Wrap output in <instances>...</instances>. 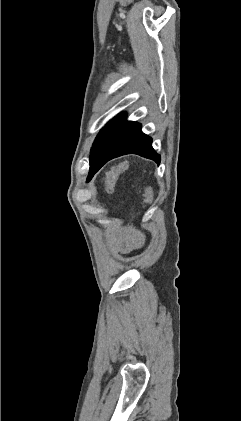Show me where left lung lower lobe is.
<instances>
[{"instance_id": "left-lung-lower-lobe-1", "label": "left lung lower lobe", "mask_w": 241, "mask_h": 421, "mask_svg": "<svg viewBox=\"0 0 241 421\" xmlns=\"http://www.w3.org/2000/svg\"><path fill=\"white\" fill-rule=\"evenodd\" d=\"M138 154L160 163V155L152 147V138L141 131V124L126 121V115H120L108 141L96 162L90 165L89 181L93 175L109 160L125 155Z\"/></svg>"}]
</instances>
